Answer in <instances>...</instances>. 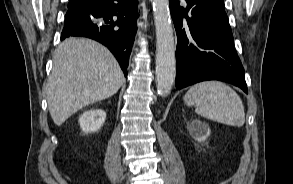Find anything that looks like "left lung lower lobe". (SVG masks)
<instances>
[{"mask_svg":"<svg viewBox=\"0 0 293 184\" xmlns=\"http://www.w3.org/2000/svg\"><path fill=\"white\" fill-rule=\"evenodd\" d=\"M185 1L169 0L178 39L176 87L221 80L248 93L223 0Z\"/></svg>","mask_w":293,"mask_h":184,"instance_id":"0a47b994","label":"left lung lower lobe"}]
</instances>
